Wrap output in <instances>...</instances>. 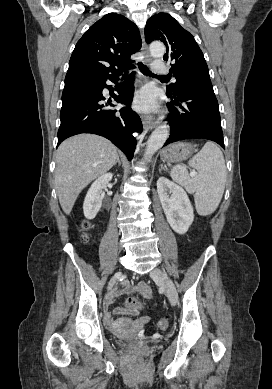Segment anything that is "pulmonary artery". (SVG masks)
Returning <instances> with one entry per match:
<instances>
[{"label": "pulmonary artery", "instance_id": "pulmonary-artery-1", "mask_svg": "<svg viewBox=\"0 0 272 389\" xmlns=\"http://www.w3.org/2000/svg\"><path fill=\"white\" fill-rule=\"evenodd\" d=\"M153 72L157 74H168L169 69L163 59H156L152 65Z\"/></svg>", "mask_w": 272, "mask_h": 389}]
</instances>
